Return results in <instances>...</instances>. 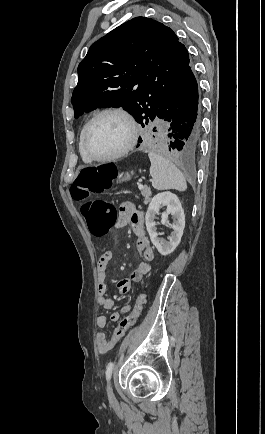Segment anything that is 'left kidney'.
Wrapping results in <instances>:
<instances>
[{
  "label": "left kidney",
  "instance_id": "1",
  "mask_svg": "<svg viewBox=\"0 0 265 434\" xmlns=\"http://www.w3.org/2000/svg\"><path fill=\"white\" fill-rule=\"evenodd\" d=\"M160 204L167 206L166 212H163L161 216L162 224H166V222H168L169 214H172L173 218H175V222H173V226H171L174 232H172L170 238H168L169 242H165V240L158 238L156 228L157 224L154 222L156 214H159L160 212ZM145 224L147 232L150 236V240L153 246L157 248L159 254H162V256H168V254H172L175 248H177L178 244H180L181 238L183 236V230L185 228L184 210L177 196H175V194H171V192H161V194L154 196L146 212Z\"/></svg>",
  "mask_w": 265,
  "mask_h": 434
}]
</instances>
